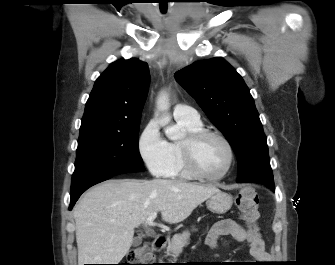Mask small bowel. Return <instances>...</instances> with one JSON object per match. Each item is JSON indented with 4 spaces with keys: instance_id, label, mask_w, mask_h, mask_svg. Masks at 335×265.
<instances>
[{
    "instance_id": "1",
    "label": "small bowel",
    "mask_w": 335,
    "mask_h": 265,
    "mask_svg": "<svg viewBox=\"0 0 335 265\" xmlns=\"http://www.w3.org/2000/svg\"><path fill=\"white\" fill-rule=\"evenodd\" d=\"M223 236H231L237 242L249 245L250 255L257 261H266L268 254L259 231L245 229L232 219H223L215 223L208 232L205 243L212 249L218 247V241Z\"/></svg>"
}]
</instances>
